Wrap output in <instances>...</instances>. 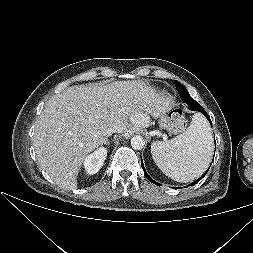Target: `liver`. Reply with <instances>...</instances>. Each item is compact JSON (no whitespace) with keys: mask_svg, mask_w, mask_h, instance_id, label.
<instances>
[{"mask_svg":"<svg viewBox=\"0 0 253 253\" xmlns=\"http://www.w3.org/2000/svg\"><path fill=\"white\" fill-rule=\"evenodd\" d=\"M171 107L169 97L143 81L71 86L52 96L39 116L34 133L37 161L57 185L74 190L83 161L102 145L106 130L147 127L149 114L156 118Z\"/></svg>","mask_w":253,"mask_h":253,"instance_id":"obj_1","label":"liver"}]
</instances>
